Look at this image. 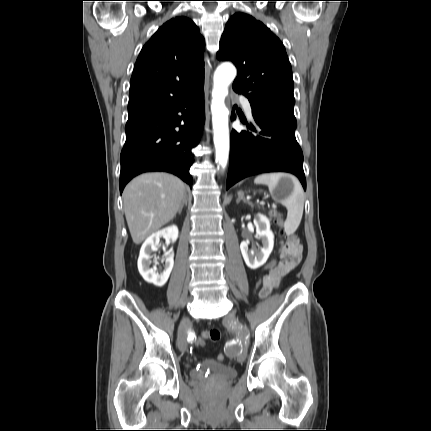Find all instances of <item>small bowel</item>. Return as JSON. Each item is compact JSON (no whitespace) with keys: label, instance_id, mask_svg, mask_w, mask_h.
Listing matches in <instances>:
<instances>
[{"label":"small bowel","instance_id":"1","mask_svg":"<svg viewBox=\"0 0 431 431\" xmlns=\"http://www.w3.org/2000/svg\"><path fill=\"white\" fill-rule=\"evenodd\" d=\"M302 243L303 238L301 236H294L293 241L289 240L280 245L278 255L281 259L274 263L271 268L265 267L267 272L261 277L263 284L258 290L259 297L269 296L278 287L281 278L300 263L303 252Z\"/></svg>","mask_w":431,"mask_h":431}]
</instances>
